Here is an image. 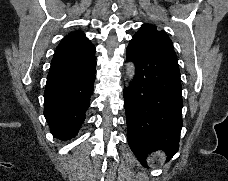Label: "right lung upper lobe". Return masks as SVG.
Here are the masks:
<instances>
[{"mask_svg":"<svg viewBox=\"0 0 228 181\" xmlns=\"http://www.w3.org/2000/svg\"><path fill=\"white\" fill-rule=\"evenodd\" d=\"M82 32H72L61 41L52 60L64 58L92 47Z\"/></svg>","mask_w":228,"mask_h":181,"instance_id":"right-lung-upper-lobe-1","label":"right lung upper lobe"}]
</instances>
